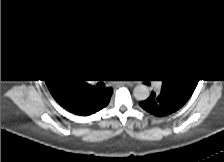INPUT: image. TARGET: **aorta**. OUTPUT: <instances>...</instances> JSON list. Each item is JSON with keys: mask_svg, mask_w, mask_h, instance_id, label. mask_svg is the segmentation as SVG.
Listing matches in <instances>:
<instances>
[{"mask_svg": "<svg viewBox=\"0 0 224 162\" xmlns=\"http://www.w3.org/2000/svg\"><path fill=\"white\" fill-rule=\"evenodd\" d=\"M133 96L138 101H144L149 97V90L145 86H136L133 91Z\"/></svg>", "mask_w": 224, "mask_h": 162, "instance_id": "aorta-1", "label": "aorta"}]
</instances>
